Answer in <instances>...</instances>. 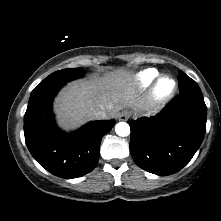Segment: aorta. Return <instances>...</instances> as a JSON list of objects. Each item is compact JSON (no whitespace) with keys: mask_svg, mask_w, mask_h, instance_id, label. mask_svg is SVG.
I'll use <instances>...</instances> for the list:
<instances>
[{"mask_svg":"<svg viewBox=\"0 0 221 221\" xmlns=\"http://www.w3.org/2000/svg\"><path fill=\"white\" fill-rule=\"evenodd\" d=\"M115 132L121 137L128 136L130 134V126L126 122H119L115 126Z\"/></svg>","mask_w":221,"mask_h":221,"instance_id":"aorta-1","label":"aorta"}]
</instances>
